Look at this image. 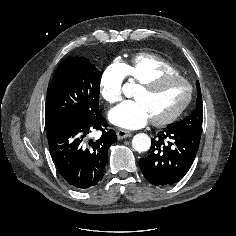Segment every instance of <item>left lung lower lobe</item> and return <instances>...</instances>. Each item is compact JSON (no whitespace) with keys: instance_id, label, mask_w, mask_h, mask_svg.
<instances>
[{"instance_id":"0a47b994","label":"left lung lower lobe","mask_w":236,"mask_h":236,"mask_svg":"<svg viewBox=\"0 0 236 236\" xmlns=\"http://www.w3.org/2000/svg\"><path fill=\"white\" fill-rule=\"evenodd\" d=\"M201 135L167 126L152 138L151 153L139 161L145 178L156 186L180 181L196 156Z\"/></svg>"}]
</instances>
